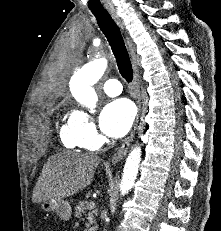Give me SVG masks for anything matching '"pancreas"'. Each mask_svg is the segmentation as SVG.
<instances>
[{
    "label": "pancreas",
    "mask_w": 221,
    "mask_h": 231,
    "mask_svg": "<svg viewBox=\"0 0 221 231\" xmlns=\"http://www.w3.org/2000/svg\"><path fill=\"white\" fill-rule=\"evenodd\" d=\"M87 201H80L78 205L75 207V216L77 218H81L82 214H85L86 211L89 209ZM97 214V211L92 208L90 212H88V223L86 224L87 229L85 231H96L97 225H96V219L95 215Z\"/></svg>",
    "instance_id": "pancreas-1"
}]
</instances>
